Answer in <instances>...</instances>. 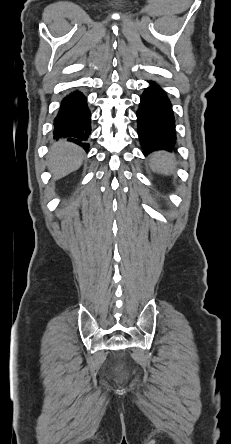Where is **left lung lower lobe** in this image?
<instances>
[{
	"label": "left lung lower lobe",
	"mask_w": 231,
	"mask_h": 444,
	"mask_svg": "<svg viewBox=\"0 0 231 444\" xmlns=\"http://www.w3.org/2000/svg\"><path fill=\"white\" fill-rule=\"evenodd\" d=\"M149 83L137 112L138 135L144 155L156 150H172L176 145L171 103L159 85Z\"/></svg>",
	"instance_id": "0a47b994"
}]
</instances>
